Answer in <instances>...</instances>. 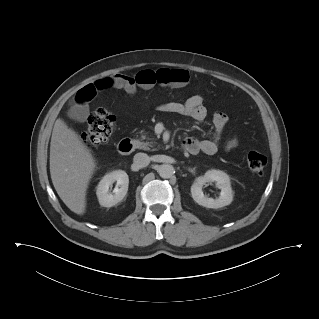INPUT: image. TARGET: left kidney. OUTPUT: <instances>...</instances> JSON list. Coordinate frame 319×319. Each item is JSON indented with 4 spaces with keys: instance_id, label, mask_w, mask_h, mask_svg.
I'll return each mask as SVG.
<instances>
[{
    "instance_id": "5707ae66",
    "label": "left kidney",
    "mask_w": 319,
    "mask_h": 319,
    "mask_svg": "<svg viewBox=\"0 0 319 319\" xmlns=\"http://www.w3.org/2000/svg\"><path fill=\"white\" fill-rule=\"evenodd\" d=\"M206 182H216L217 187L221 189L217 199L208 198L203 194L202 187ZM191 194L196 203L207 208H221L229 205L233 200L229 176L225 172L215 169L208 170L203 176L195 179L191 186Z\"/></svg>"
}]
</instances>
